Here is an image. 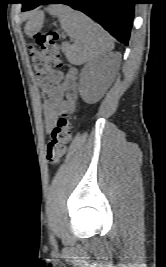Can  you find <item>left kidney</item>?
Listing matches in <instances>:
<instances>
[{
    "mask_svg": "<svg viewBox=\"0 0 166 267\" xmlns=\"http://www.w3.org/2000/svg\"><path fill=\"white\" fill-rule=\"evenodd\" d=\"M110 69L108 58H97L84 66L79 84L83 101L94 104L100 100L109 86Z\"/></svg>",
    "mask_w": 166,
    "mask_h": 267,
    "instance_id": "5707ae66",
    "label": "left kidney"
}]
</instances>
